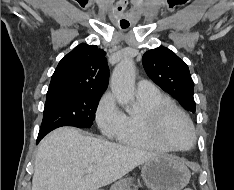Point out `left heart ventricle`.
I'll return each mask as SVG.
<instances>
[{
    "label": "left heart ventricle",
    "instance_id": "obj_1",
    "mask_svg": "<svg viewBox=\"0 0 234 190\" xmlns=\"http://www.w3.org/2000/svg\"><path fill=\"white\" fill-rule=\"evenodd\" d=\"M164 134L176 146L185 147L191 142L190 129L186 122L177 114H172L167 119Z\"/></svg>",
    "mask_w": 234,
    "mask_h": 190
}]
</instances>
